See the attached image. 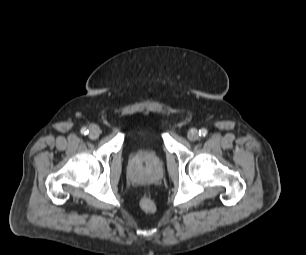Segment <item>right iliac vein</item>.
I'll return each instance as SVG.
<instances>
[{
  "label": "right iliac vein",
  "instance_id": "obj_1",
  "mask_svg": "<svg viewBox=\"0 0 306 255\" xmlns=\"http://www.w3.org/2000/svg\"><path fill=\"white\" fill-rule=\"evenodd\" d=\"M100 128L97 125H92L89 128V137L91 139H97L100 135Z\"/></svg>",
  "mask_w": 306,
  "mask_h": 255
}]
</instances>
